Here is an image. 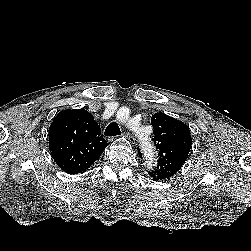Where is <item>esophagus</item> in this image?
Returning <instances> with one entry per match:
<instances>
[{
    "label": "esophagus",
    "mask_w": 251,
    "mask_h": 251,
    "mask_svg": "<svg viewBox=\"0 0 251 251\" xmlns=\"http://www.w3.org/2000/svg\"><path fill=\"white\" fill-rule=\"evenodd\" d=\"M124 135L126 136V138L131 142L134 143L135 138L133 137V135L129 132H124Z\"/></svg>",
    "instance_id": "1"
}]
</instances>
